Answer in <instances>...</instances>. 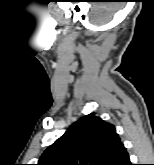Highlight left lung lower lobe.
Segmentation results:
<instances>
[{
	"label": "left lung lower lobe",
	"instance_id": "0a47b994",
	"mask_svg": "<svg viewBox=\"0 0 154 165\" xmlns=\"http://www.w3.org/2000/svg\"><path fill=\"white\" fill-rule=\"evenodd\" d=\"M114 165H132L129 159V155L124 146L120 149Z\"/></svg>",
	"mask_w": 154,
	"mask_h": 165
}]
</instances>
